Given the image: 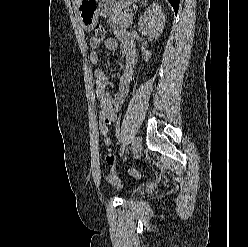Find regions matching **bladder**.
I'll list each match as a JSON object with an SVG mask.
<instances>
[{"label": "bladder", "instance_id": "bladder-1", "mask_svg": "<svg viewBox=\"0 0 248 247\" xmlns=\"http://www.w3.org/2000/svg\"><path fill=\"white\" fill-rule=\"evenodd\" d=\"M113 183H114V185H115L116 187L122 188V183H121V180L119 179L118 176H116V177L114 178Z\"/></svg>", "mask_w": 248, "mask_h": 247}]
</instances>
